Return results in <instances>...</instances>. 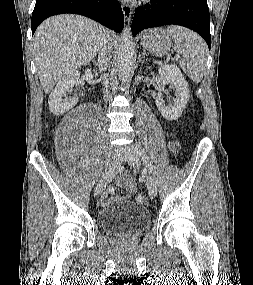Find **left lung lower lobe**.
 <instances>
[{
	"mask_svg": "<svg viewBox=\"0 0 253 285\" xmlns=\"http://www.w3.org/2000/svg\"><path fill=\"white\" fill-rule=\"evenodd\" d=\"M176 24L199 33L211 47L207 0H159L136 9L132 22L135 36L143 29Z\"/></svg>",
	"mask_w": 253,
	"mask_h": 285,
	"instance_id": "0a47b994",
	"label": "left lung lower lobe"
}]
</instances>
